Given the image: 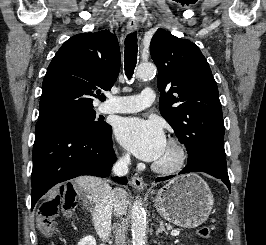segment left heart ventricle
I'll use <instances>...</instances> for the list:
<instances>
[{
    "mask_svg": "<svg viewBox=\"0 0 266 245\" xmlns=\"http://www.w3.org/2000/svg\"><path fill=\"white\" fill-rule=\"evenodd\" d=\"M178 157L177 148L174 145L166 143L163 151L161 152L158 159L155 161L156 164L169 167L172 166Z\"/></svg>",
    "mask_w": 266,
    "mask_h": 245,
    "instance_id": "obj_1",
    "label": "left heart ventricle"
}]
</instances>
